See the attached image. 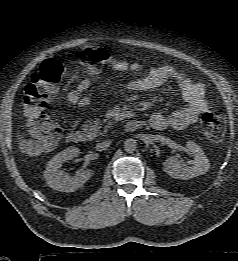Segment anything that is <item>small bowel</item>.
I'll list each match as a JSON object with an SVG mask.
<instances>
[{
  "label": "small bowel",
  "mask_w": 238,
  "mask_h": 261,
  "mask_svg": "<svg viewBox=\"0 0 238 261\" xmlns=\"http://www.w3.org/2000/svg\"><path fill=\"white\" fill-rule=\"evenodd\" d=\"M111 68L115 72L131 71L137 77L128 85L129 90L138 92L153 91L164 85L168 80L175 81L181 90L182 97L187 106L172 111L170 114L154 113L150 117V125L155 130H164L168 127L183 129L198 120V117L208 109L203 84L193 81L183 71L171 65L155 66L143 73L140 63H128L126 61H114ZM91 86V79H83L76 89L69 93L68 101L72 105L87 107L90 98L84 96Z\"/></svg>",
  "instance_id": "small-bowel-1"
}]
</instances>
